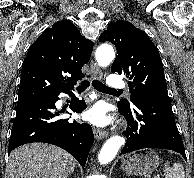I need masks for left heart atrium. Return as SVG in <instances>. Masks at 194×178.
<instances>
[{
    "mask_svg": "<svg viewBox=\"0 0 194 178\" xmlns=\"http://www.w3.org/2000/svg\"><path fill=\"white\" fill-rule=\"evenodd\" d=\"M84 119L96 126H105L111 121L102 105H96L86 111L84 114Z\"/></svg>",
    "mask_w": 194,
    "mask_h": 178,
    "instance_id": "left-heart-atrium-1",
    "label": "left heart atrium"
}]
</instances>
